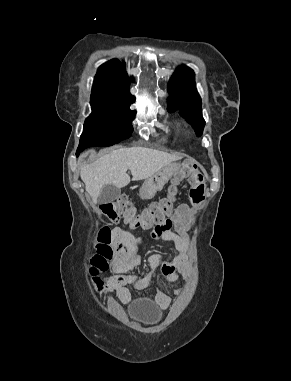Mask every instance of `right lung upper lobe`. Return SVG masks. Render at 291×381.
Returning a JSON list of instances; mask_svg holds the SVG:
<instances>
[{
  "mask_svg": "<svg viewBox=\"0 0 291 381\" xmlns=\"http://www.w3.org/2000/svg\"><path fill=\"white\" fill-rule=\"evenodd\" d=\"M129 85L130 81L123 64L114 59L99 67L94 78L91 97L130 104L135 99L128 92Z\"/></svg>",
  "mask_w": 291,
  "mask_h": 381,
  "instance_id": "cb5924a9",
  "label": "right lung upper lobe"
}]
</instances>
